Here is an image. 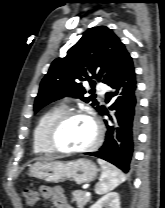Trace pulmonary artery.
<instances>
[{
	"label": "pulmonary artery",
	"mask_w": 165,
	"mask_h": 208,
	"mask_svg": "<svg viewBox=\"0 0 165 208\" xmlns=\"http://www.w3.org/2000/svg\"><path fill=\"white\" fill-rule=\"evenodd\" d=\"M97 90H98V92H99L101 95H103V94L105 93V87H104V85L99 84V85L97 86Z\"/></svg>",
	"instance_id": "obj_1"
}]
</instances>
